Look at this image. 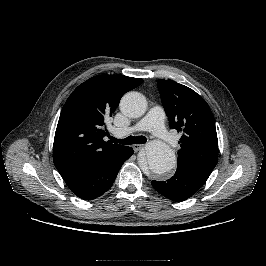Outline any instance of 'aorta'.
Here are the masks:
<instances>
[{"mask_svg": "<svg viewBox=\"0 0 266 266\" xmlns=\"http://www.w3.org/2000/svg\"><path fill=\"white\" fill-rule=\"evenodd\" d=\"M147 104L144 96L138 92H128L120 102L121 112L130 117L137 118L146 112ZM142 169H149L156 175H163L176 166V157L173 150L161 141H152L147 144L145 151L139 157Z\"/></svg>", "mask_w": 266, "mask_h": 266, "instance_id": "1", "label": "aorta"}]
</instances>
